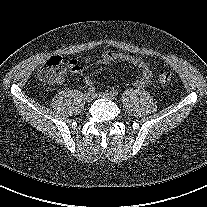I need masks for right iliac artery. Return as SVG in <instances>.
Here are the masks:
<instances>
[{
	"label": "right iliac artery",
	"mask_w": 207,
	"mask_h": 207,
	"mask_svg": "<svg viewBox=\"0 0 207 207\" xmlns=\"http://www.w3.org/2000/svg\"><path fill=\"white\" fill-rule=\"evenodd\" d=\"M88 91L93 94L95 93L96 89L95 87H89Z\"/></svg>",
	"instance_id": "right-iliac-artery-1"
}]
</instances>
